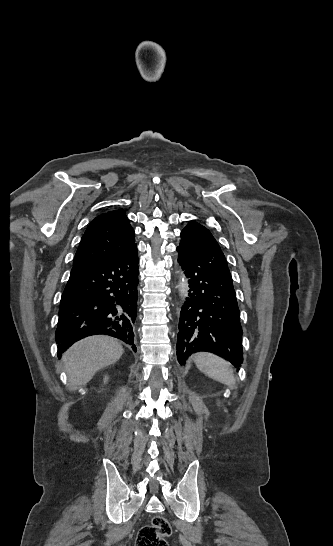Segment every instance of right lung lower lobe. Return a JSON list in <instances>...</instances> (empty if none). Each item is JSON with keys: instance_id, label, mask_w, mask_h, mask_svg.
<instances>
[{"instance_id": "right-lung-lower-lobe-1", "label": "right lung lower lobe", "mask_w": 333, "mask_h": 546, "mask_svg": "<svg viewBox=\"0 0 333 546\" xmlns=\"http://www.w3.org/2000/svg\"><path fill=\"white\" fill-rule=\"evenodd\" d=\"M138 282L136 244L114 259L73 266L59 306V358L73 343L95 334L116 337L136 351Z\"/></svg>"}]
</instances>
